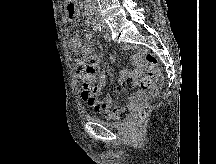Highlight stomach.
Wrapping results in <instances>:
<instances>
[{"instance_id":"stomach-1","label":"stomach","mask_w":216,"mask_h":164,"mask_svg":"<svg viewBox=\"0 0 216 164\" xmlns=\"http://www.w3.org/2000/svg\"><path fill=\"white\" fill-rule=\"evenodd\" d=\"M65 12L68 15H65V20H72L74 14H78L79 10L77 7H65Z\"/></svg>"}]
</instances>
